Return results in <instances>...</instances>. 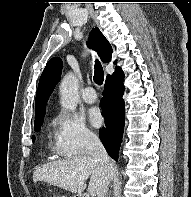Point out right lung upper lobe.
I'll return each instance as SVG.
<instances>
[{
    "label": "right lung upper lobe",
    "instance_id": "right-lung-upper-lobe-1",
    "mask_svg": "<svg viewBox=\"0 0 191 197\" xmlns=\"http://www.w3.org/2000/svg\"><path fill=\"white\" fill-rule=\"evenodd\" d=\"M89 48L96 50L98 56L103 62H110L112 57V47L98 28H94L89 34L87 42ZM116 63V61H114ZM62 71V61L60 58L50 59L40 77L36 99H35V121L34 125L43 121L46 112V103L54 90L55 85L59 82ZM122 72L116 67L114 74ZM109 77V75L107 76Z\"/></svg>",
    "mask_w": 191,
    "mask_h": 197
}]
</instances>
